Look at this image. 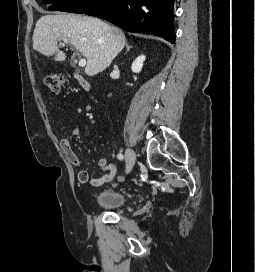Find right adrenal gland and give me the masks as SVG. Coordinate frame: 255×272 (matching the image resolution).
Masks as SVG:
<instances>
[{"mask_svg":"<svg viewBox=\"0 0 255 272\" xmlns=\"http://www.w3.org/2000/svg\"><path fill=\"white\" fill-rule=\"evenodd\" d=\"M126 50L129 51V49L132 47V46H129L128 43H126Z\"/></svg>","mask_w":255,"mask_h":272,"instance_id":"1","label":"right adrenal gland"}]
</instances>
